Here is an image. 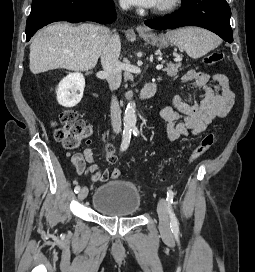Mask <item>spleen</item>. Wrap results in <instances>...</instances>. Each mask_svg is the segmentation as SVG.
Returning a JSON list of instances; mask_svg holds the SVG:
<instances>
[{
	"instance_id": "1",
	"label": "spleen",
	"mask_w": 255,
	"mask_h": 272,
	"mask_svg": "<svg viewBox=\"0 0 255 272\" xmlns=\"http://www.w3.org/2000/svg\"><path fill=\"white\" fill-rule=\"evenodd\" d=\"M166 36L191 58L197 59L217 47L220 40L213 33L198 27L167 31Z\"/></svg>"
}]
</instances>
